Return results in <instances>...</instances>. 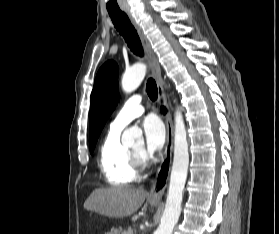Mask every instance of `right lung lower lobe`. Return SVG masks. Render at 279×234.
<instances>
[{"label": "right lung lower lobe", "instance_id": "1", "mask_svg": "<svg viewBox=\"0 0 279 234\" xmlns=\"http://www.w3.org/2000/svg\"><path fill=\"white\" fill-rule=\"evenodd\" d=\"M161 110L164 114L166 113V109L164 107H161Z\"/></svg>", "mask_w": 279, "mask_h": 234}]
</instances>
